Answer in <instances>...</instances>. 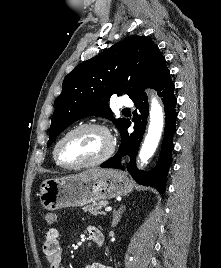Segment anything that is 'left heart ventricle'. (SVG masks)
I'll return each instance as SVG.
<instances>
[{
  "instance_id": "1",
  "label": "left heart ventricle",
  "mask_w": 221,
  "mask_h": 268,
  "mask_svg": "<svg viewBox=\"0 0 221 268\" xmlns=\"http://www.w3.org/2000/svg\"><path fill=\"white\" fill-rule=\"evenodd\" d=\"M109 146L107 136L97 129H82L69 135L60 145L58 156L66 164H82L100 157Z\"/></svg>"
}]
</instances>
